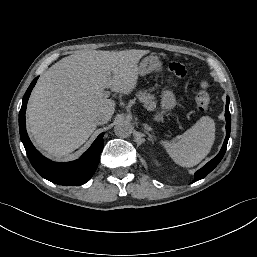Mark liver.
Segmentation results:
<instances>
[{
  "mask_svg": "<svg viewBox=\"0 0 257 257\" xmlns=\"http://www.w3.org/2000/svg\"><path fill=\"white\" fill-rule=\"evenodd\" d=\"M147 53L85 51L52 65L28 102L27 125L36 144L58 159L84 144L97 127L96 117L115 111L104 89L130 94L137 85L138 62Z\"/></svg>",
  "mask_w": 257,
  "mask_h": 257,
  "instance_id": "1",
  "label": "liver"
}]
</instances>
